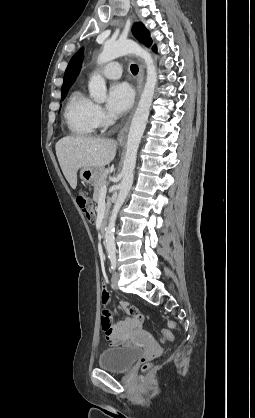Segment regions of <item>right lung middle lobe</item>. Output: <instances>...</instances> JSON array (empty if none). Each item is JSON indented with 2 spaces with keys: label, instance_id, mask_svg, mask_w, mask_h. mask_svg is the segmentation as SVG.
Masks as SVG:
<instances>
[{
  "label": "right lung middle lobe",
  "instance_id": "dd1d6c3e",
  "mask_svg": "<svg viewBox=\"0 0 255 418\" xmlns=\"http://www.w3.org/2000/svg\"><path fill=\"white\" fill-rule=\"evenodd\" d=\"M67 91H68V89H66V90L62 91V97H61V100H63V99L65 98V96H66V94H67Z\"/></svg>",
  "mask_w": 255,
  "mask_h": 418
}]
</instances>
